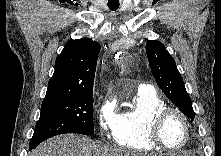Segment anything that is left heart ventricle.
<instances>
[{"label": "left heart ventricle", "mask_w": 221, "mask_h": 156, "mask_svg": "<svg viewBox=\"0 0 221 156\" xmlns=\"http://www.w3.org/2000/svg\"><path fill=\"white\" fill-rule=\"evenodd\" d=\"M186 136V129L183 121L176 114H170L161 129V137L169 147L180 146Z\"/></svg>", "instance_id": "b2bd125f"}]
</instances>
